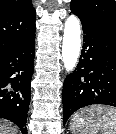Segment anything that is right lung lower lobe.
Masks as SVG:
<instances>
[{"mask_svg":"<svg viewBox=\"0 0 116 134\" xmlns=\"http://www.w3.org/2000/svg\"><path fill=\"white\" fill-rule=\"evenodd\" d=\"M35 56V33L0 55V118L25 127Z\"/></svg>","mask_w":116,"mask_h":134,"instance_id":"obj_1","label":"right lung lower lobe"}]
</instances>
